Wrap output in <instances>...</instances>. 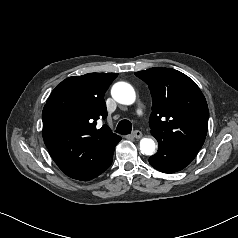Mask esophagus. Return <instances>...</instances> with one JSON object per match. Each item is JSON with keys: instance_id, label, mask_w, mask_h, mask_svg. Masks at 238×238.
Here are the masks:
<instances>
[{"instance_id": "1", "label": "esophagus", "mask_w": 238, "mask_h": 238, "mask_svg": "<svg viewBox=\"0 0 238 238\" xmlns=\"http://www.w3.org/2000/svg\"><path fill=\"white\" fill-rule=\"evenodd\" d=\"M132 137L135 139H140L142 137V133L139 130H136L132 133Z\"/></svg>"}]
</instances>
